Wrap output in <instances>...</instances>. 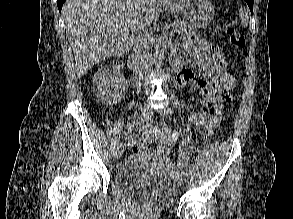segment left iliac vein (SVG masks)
I'll use <instances>...</instances> for the list:
<instances>
[{
  "label": "left iliac vein",
  "instance_id": "left-iliac-vein-1",
  "mask_svg": "<svg viewBox=\"0 0 293 219\" xmlns=\"http://www.w3.org/2000/svg\"><path fill=\"white\" fill-rule=\"evenodd\" d=\"M160 115L163 117V118H168L169 120L171 119V115H172V112H171V109L170 108H164V109H161L159 111ZM182 178L184 181H186L187 179V176H188V173H187V169L186 168H182Z\"/></svg>",
  "mask_w": 293,
  "mask_h": 219
}]
</instances>
